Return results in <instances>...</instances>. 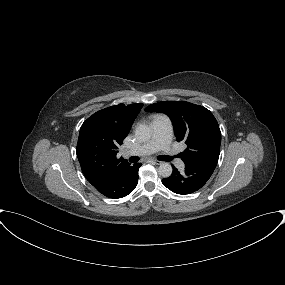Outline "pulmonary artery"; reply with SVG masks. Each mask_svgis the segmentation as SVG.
<instances>
[{
  "instance_id": "e3ab8cb5",
  "label": "pulmonary artery",
  "mask_w": 285,
  "mask_h": 285,
  "mask_svg": "<svg viewBox=\"0 0 285 285\" xmlns=\"http://www.w3.org/2000/svg\"><path fill=\"white\" fill-rule=\"evenodd\" d=\"M153 135L152 137L132 150V154L148 155L155 151L162 150L165 154L172 157L178 169L183 170V162L173 155L171 147L172 125L170 119L165 115H157L152 119Z\"/></svg>"
}]
</instances>
